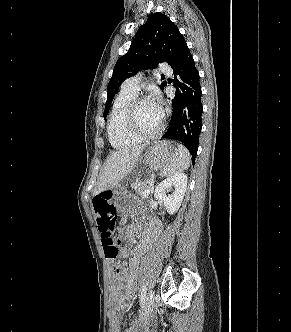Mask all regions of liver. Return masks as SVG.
<instances>
[{
    "mask_svg": "<svg viewBox=\"0 0 291 332\" xmlns=\"http://www.w3.org/2000/svg\"><path fill=\"white\" fill-rule=\"evenodd\" d=\"M145 145L120 149L111 153L99 175L97 188L93 195L116 188L120 182L134 169Z\"/></svg>",
    "mask_w": 291,
    "mask_h": 332,
    "instance_id": "liver-1",
    "label": "liver"
}]
</instances>
